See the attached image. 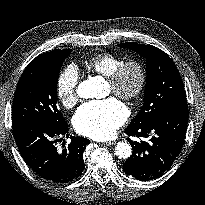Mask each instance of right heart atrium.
Returning <instances> with one entry per match:
<instances>
[{"label":"right heart atrium","mask_w":205,"mask_h":205,"mask_svg":"<svg viewBox=\"0 0 205 205\" xmlns=\"http://www.w3.org/2000/svg\"><path fill=\"white\" fill-rule=\"evenodd\" d=\"M80 81V73L73 66H67L61 71L56 82V94L62 105L71 108L78 100V85Z\"/></svg>","instance_id":"obj_1"}]
</instances>
